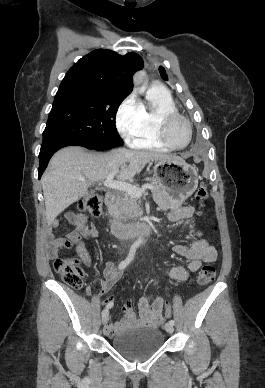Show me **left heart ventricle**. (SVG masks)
Returning a JSON list of instances; mask_svg holds the SVG:
<instances>
[{
  "label": "left heart ventricle",
  "mask_w": 265,
  "mask_h": 388,
  "mask_svg": "<svg viewBox=\"0 0 265 388\" xmlns=\"http://www.w3.org/2000/svg\"><path fill=\"white\" fill-rule=\"evenodd\" d=\"M167 136L170 142L175 146H182L188 140V131L184 123L175 118L172 119L167 127Z\"/></svg>",
  "instance_id": "left-heart-ventricle-1"
}]
</instances>
